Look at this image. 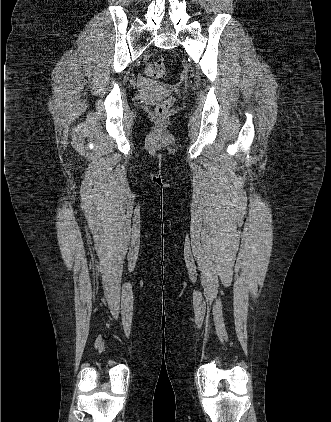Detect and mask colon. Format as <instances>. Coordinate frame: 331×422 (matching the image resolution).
<instances>
[{"mask_svg":"<svg viewBox=\"0 0 331 422\" xmlns=\"http://www.w3.org/2000/svg\"><path fill=\"white\" fill-rule=\"evenodd\" d=\"M164 64L161 61L150 62L145 69V75L150 78H160L164 75ZM171 106V100H165L158 104L154 114L158 118L164 117Z\"/></svg>","mask_w":331,"mask_h":422,"instance_id":"5ec220e1","label":"colon"}]
</instances>
